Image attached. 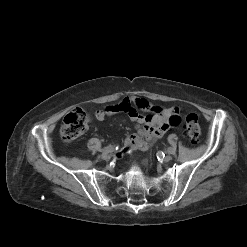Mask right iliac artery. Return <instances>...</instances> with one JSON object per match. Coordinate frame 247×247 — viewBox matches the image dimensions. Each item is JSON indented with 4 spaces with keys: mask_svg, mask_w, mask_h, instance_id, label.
Returning a JSON list of instances; mask_svg holds the SVG:
<instances>
[{
    "mask_svg": "<svg viewBox=\"0 0 247 247\" xmlns=\"http://www.w3.org/2000/svg\"><path fill=\"white\" fill-rule=\"evenodd\" d=\"M114 148H115V146L109 145V146H107V147H104V148L102 149V152H111V151L114 150ZM117 148H118V147H116V149H117Z\"/></svg>",
    "mask_w": 247,
    "mask_h": 247,
    "instance_id": "right-iliac-artery-1",
    "label": "right iliac artery"
}]
</instances>
